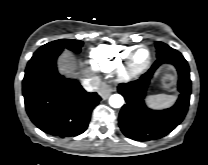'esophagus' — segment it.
Wrapping results in <instances>:
<instances>
[{"label":"esophagus","instance_id":"34e87169","mask_svg":"<svg viewBox=\"0 0 208 165\" xmlns=\"http://www.w3.org/2000/svg\"><path fill=\"white\" fill-rule=\"evenodd\" d=\"M115 91V88H113L112 86L108 85V84H103L101 87H100V90H99V94L100 96L103 98V99H106L108 98L112 92Z\"/></svg>","mask_w":208,"mask_h":165}]
</instances>
